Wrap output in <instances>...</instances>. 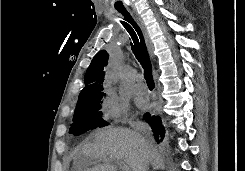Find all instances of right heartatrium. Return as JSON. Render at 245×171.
Instances as JSON below:
<instances>
[{
    "label": "right heart atrium",
    "mask_w": 245,
    "mask_h": 171,
    "mask_svg": "<svg viewBox=\"0 0 245 171\" xmlns=\"http://www.w3.org/2000/svg\"><path fill=\"white\" fill-rule=\"evenodd\" d=\"M102 119L112 123L130 121L127 106L112 92H108L101 101Z\"/></svg>",
    "instance_id": "1"
}]
</instances>
